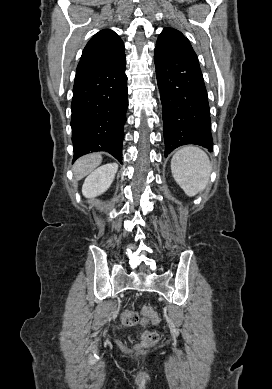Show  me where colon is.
Wrapping results in <instances>:
<instances>
[{
  "instance_id": "obj_1",
  "label": "colon",
  "mask_w": 272,
  "mask_h": 389,
  "mask_svg": "<svg viewBox=\"0 0 272 389\" xmlns=\"http://www.w3.org/2000/svg\"><path fill=\"white\" fill-rule=\"evenodd\" d=\"M157 321L155 312L150 307L142 308V316L131 310H124L121 313L120 321L124 326L131 327L137 324L146 325L150 321ZM159 339V335L156 331L145 330L141 334V341L138 344L139 348H149L154 346Z\"/></svg>"
}]
</instances>
